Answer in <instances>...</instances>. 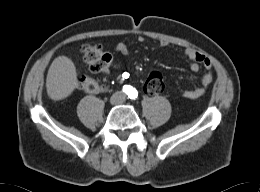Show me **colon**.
<instances>
[{
  "label": "colon",
  "mask_w": 260,
  "mask_h": 192,
  "mask_svg": "<svg viewBox=\"0 0 260 192\" xmlns=\"http://www.w3.org/2000/svg\"><path fill=\"white\" fill-rule=\"evenodd\" d=\"M83 61L93 72H101L115 65L111 54L98 44H85L81 47ZM80 89L87 93H98L106 89V85L89 76H80ZM167 88L166 77L159 72H152L144 84V90L150 95L160 94Z\"/></svg>",
  "instance_id": "colon-1"
}]
</instances>
